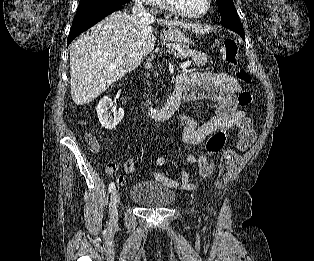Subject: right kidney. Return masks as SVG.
Here are the masks:
<instances>
[{"instance_id":"ca27d5eb","label":"right kidney","mask_w":314,"mask_h":261,"mask_svg":"<svg viewBox=\"0 0 314 261\" xmlns=\"http://www.w3.org/2000/svg\"><path fill=\"white\" fill-rule=\"evenodd\" d=\"M112 105V100L109 97L104 96L96 107L99 122L107 130L115 129L124 117V110L122 108L116 109L113 107L109 111ZM112 112L113 116L111 115Z\"/></svg>"}]
</instances>
